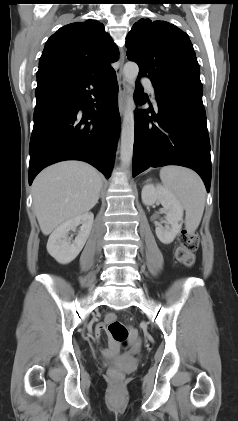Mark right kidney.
Masks as SVG:
<instances>
[{"instance_id":"1","label":"right kidney","mask_w":238,"mask_h":421,"mask_svg":"<svg viewBox=\"0 0 238 421\" xmlns=\"http://www.w3.org/2000/svg\"><path fill=\"white\" fill-rule=\"evenodd\" d=\"M94 215L86 212L80 216L67 220L58 226L50 235L47 243L48 253L60 264L72 262L84 247L92 225ZM81 224L80 231L75 240H68V233Z\"/></svg>"}]
</instances>
